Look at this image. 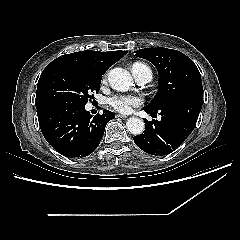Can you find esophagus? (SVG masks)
Masks as SVG:
<instances>
[{
    "label": "esophagus",
    "instance_id": "obj_1",
    "mask_svg": "<svg viewBox=\"0 0 240 240\" xmlns=\"http://www.w3.org/2000/svg\"><path fill=\"white\" fill-rule=\"evenodd\" d=\"M116 117L123 118V119L128 118L127 115H122V114H117Z\"/></svg>",
    "mask_w": 240,
    "mask_h": 240
}]
</instances>
